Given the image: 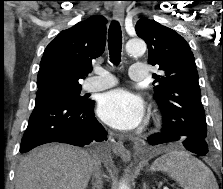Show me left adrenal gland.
I'll return each instance as SVG.
<instances>
[{
  "label": "left adrenal gland",
  "instance_id": "obj_1",
  "mask_svg": "<svg viewBox=\"0 0 223 189\" xmlns=\"http://www.w3.org/2000/svg\"><path fill=\"white\" fill-rule=\"evenodd\" d=\"M143 189H148V184H146L145 182L143 183ZM155 189V188H153Z\"/></svg>",
  "mask_w": 223,
  "mask_h": 189
}]
</instances>
